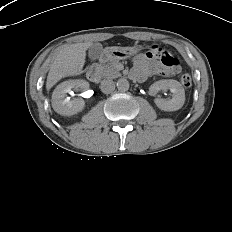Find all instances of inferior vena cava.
<instances>
[{"label": "inferior vena cava", "mask_w": 232, "mask_h": 232, "mask_svg": "<svg viewBox=\"0 0 232 232\" xmlns=\"http://www.w3.org/2000/svg\"><path fill=\"white\" fill-rule=\"evenodd\" d=\"M101 91L105 94L111 93L115 89V83L111 79L103 80L100 84Z\"/></svg>", "instance_id": "obj_1"}]
</instances>
